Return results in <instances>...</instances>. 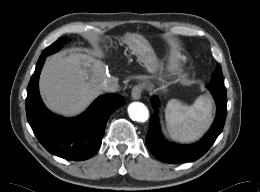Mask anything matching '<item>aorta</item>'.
<instances>
[{
  "label": "aorta",
  "instance_id": "aorta-1",
  "mask_svg": "<svg viewBox=\"0 0 260 192\" xmlns=\"http://www.w3.org/2000/svg\"><path fill=\"white\" fill-rule=\"evenodd\" d=\"M130 118L137 122H145L148 119L149 112L147 107L140 102H133L128 107Z\"/></svg>",
  "mask_w": 260,
  "mask_h": 192
}]
</instances>
